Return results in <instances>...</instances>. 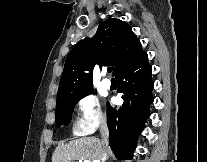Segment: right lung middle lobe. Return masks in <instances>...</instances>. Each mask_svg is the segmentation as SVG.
I'll return each instance as SVG.
<instances>
[{"label":"right lung middle lobe","instance_id":"1","mask_svg":"<svg viewBox=\"0 0 207 162\" xmlns=\"http://www.w3.org/2000/svg\"><path fill=\"white\" fill-rule=\"evenodd\" d=\"M91 92L92 90L80 95L67 96L57 99L56 124L58 127L61 125H67L71 121L72 111L76 103Z\"/></svg>","mask_w":207,"mask_h":162}]
</instances>
